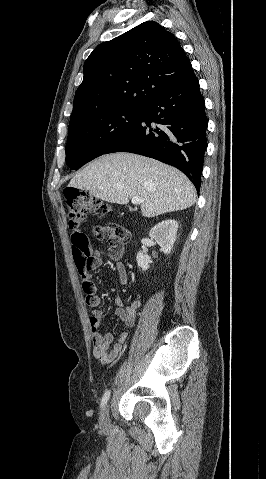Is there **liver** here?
Returning <instances> with one entry per match:
<instances>
[{"mask_svg": "<svg viewBox=\"0 0 266 479\" xmlns=\"http://www.w3.org/2000/svg\"><path fill=\"white\" fill-rule=\"evenodd\" d=\"M68 186L117 204H127L130 198L138 196L144 200L140 210L147 218L187 209L196 201V190L181 171L126 152L95 159Z\"/></svg>", "mask_w": 266, "mask_h": 479, "instance_id": "1", "label": "liver"}]
</instances>
